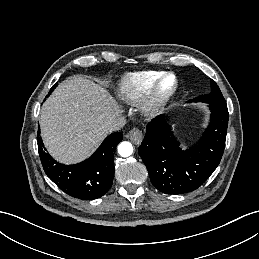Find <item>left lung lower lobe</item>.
Here are the masks:
<instances>
[{
    "instance_id": "obj_1",
    "label": "left lung lower lobe",
    "mask_w": 259,
    "mask_h": 259,
    "mask_svg": "<svg viewBox=\"0 0 259 259\" xmlns=\"http://www.w3.org/2000/svg\"><path fill=\"white\" fill-rule=\"evenodd\" d=\"M208 104L210 124L201 140L189 150H181L164 115L147 125L138 151L152 184L161 192L182 194L196 190L219 165L225 147L228 109L226 103Z\"/></svg>"
}]
</instances>
